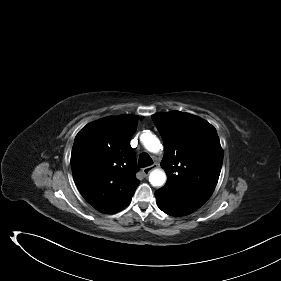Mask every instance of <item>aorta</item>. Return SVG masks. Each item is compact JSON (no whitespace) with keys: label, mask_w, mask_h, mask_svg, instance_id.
Returning a JSON list of instances; mask_svg holds the SVG:
<instances>
[{"label":"aorta","mask_w":281,"mask_h":281,"mask_svg":"<svg viewBox=\"0 0 281 281\" xmlns=\"http://www.w3.org/2000/svg\"><path fill=\"white\" fill-rule=\"evenodd\" d=\"M140 139L149 152L158 153L162 148L160 140L150 132L142 134ZM166 179V173L162 169H154L149 175V182L154 187H162Z\"/></svg>","instance_id":"obj_1"}]
</instances>
